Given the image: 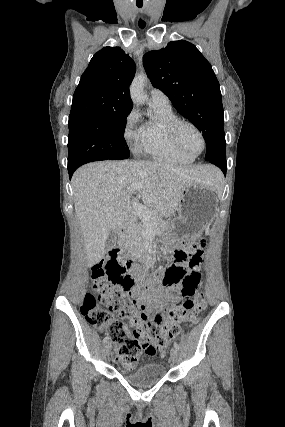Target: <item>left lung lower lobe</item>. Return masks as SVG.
I'll list each match as a JSON object with an SVG mask.
<instances>
[{"label":"left lung lower lobe","instance_id":"1","mask_svg":"<svg viewBox=\"0 0 285 427\" xmlns=\"http://www.w3.org/2000/svg\"><path fill=\"white\" fill-rule=\"evenodd\" d=\"M208 162L215 164L217 167H219L223 171L224 174H226L227 167H226L225 152L214 155L213 157L210 158Z\"/></svg>","mask_w":285,"mask_h":427}]
</instances>
